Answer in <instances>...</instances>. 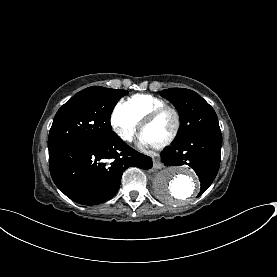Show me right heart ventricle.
I'll return each instance as SVG.
<instances>
[{
    "label": "right heart ventricle",
    "mask_w": 277,
    "mask_h": 277,
    "mask_svg": "<svg viewBox=\"0 0 277 277\" xmlns=\"http://www.w3.org/2000/svg\"><path fill=\"white\" fill-rule=\"evenodd\" d=\"M163 105H167V103L160 98L149 94H136L127 98L120 107L141 122L150 110Z\"/></svg>",
    "instance_id": "right-heart-ventricle-1"
}]
</instances>
